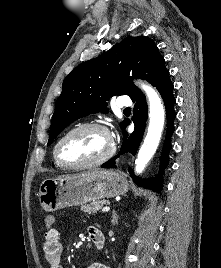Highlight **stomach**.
Instances as JSON below:
<instances>
[{"label":"stomach","mask_w":221,"mask_h":268,"mask_svg":"<svg viewBox=\"0 0 221 268\" xmlns=\"http://www.w3.org/2000/svg\"><path fill=\"white\" fill-rule=\"evenodd\" d=\"M129 189L125 175L113 170L88 171L60 179L44 180L38 198L47 212L83 205L103 198L125 194Z\"/></svg>","instance_id":"obj_1"}]
</instances>
